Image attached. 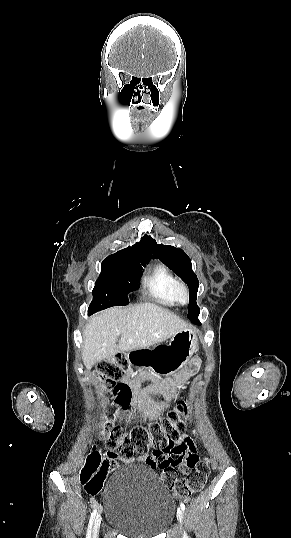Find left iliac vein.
Listing matches in <instances>:
<instances>
[{
  "mask_svg": "<svg viewBox=\"0 0 291 538\" xmlns=\"http://www.w3.org/2000/svg\"><path fill=\"white\" fill-rule=\"evenodd\" d=\"M183 518H184V516H183V511L179 508V509L177 510V519H178V521H179L181 524L183 523ZM185 535H186V534L184 533V537H185ZM185 538H186V537H185Z\"/></svg>",
  "mask_w": 291,
  "mask_h": 538,
  "instance_id": "left-iliac-vein-1",
  "label": "left iliac vein"
}]
</instances>
